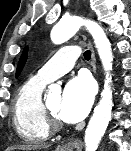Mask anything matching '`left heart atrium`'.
<instances>
[{"mask_svg": "<svg viewBox=\"0 0 131 151\" xmlns=\"http://www.w3.org/2000/svg\"><path fill=\"white\" fill-rule=\"evenodd\" d=\"M95 87L90 77L79 75L66 85L59 108V117L68 123L81 121L88 114L94 99Z\"/></svg>", "mask_w": 131, "mask_h": 151, "instance_id": "left-heart-atrium-1", "label": "left heart atrium"}]
</instances>
